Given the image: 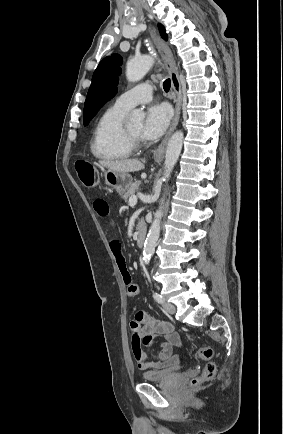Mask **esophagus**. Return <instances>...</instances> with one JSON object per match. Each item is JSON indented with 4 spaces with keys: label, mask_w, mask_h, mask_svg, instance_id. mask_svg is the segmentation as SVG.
<instances>
[{
    "label": "esophagus",
    "mask_w": 283,
    "mask_h": 434,
    "mask_svg": "<svg viewBox=\"0 0 283 434\" xmlns=\"http://www.w3.org/2000/svg\"><path fill=\"white\" fill-rule=\"evenodd\" d=\"M149 30H150L151 36L155 42V45L158 49V52L162 57L164 65H165V67L169 73V76L171 78V87H172L173 93L175 94V97H176L175 98V102H176L175 115H174L172 124H171L166 136L164 137V139L162 140V142L159 144V146L157 147V149L154 152V159L156 161H159L163 158L164 153H165V149H166V144H167L171 134L173 133V131L175 130V128L179 122L180 112H181V85H180L178 73L175 70L172 55H171L168 47L166 46V44L164 43V41L162 40V38L159 35L153 33L151 26H149Z\"/></svg>",
    "instance_id": "1"
}]
</instances>
